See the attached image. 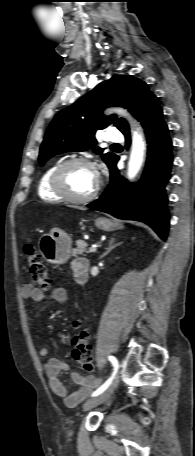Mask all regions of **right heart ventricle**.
I'll return each instance as SVG.
<instances>
[{"instance_id": "1", "label": "right heart ventricle", "mask_w": 195, "mask_h": 456, "mask_svg": "<svg viewBox=\"0 0 195 456\" xmlns=\"http://www.w3.org/2000/svg\"><path fill=\"white\" fill-rule=\"evenodd\" d=\"M57 165L58 163L49 165L39 178L37 186L38 195L45 201L57 202L61 200V198L52 191L50 186V177Z\"/></svg>"}]
</instances>
